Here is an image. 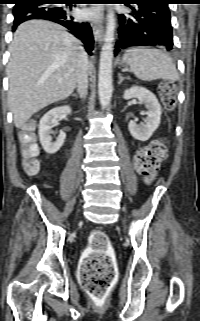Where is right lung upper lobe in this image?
Segmentation results:
<instances>
[{
    "label": "right lung upper lobe",
    "mask_w": 200,
    "mask_h": 321,
    "mask_svg": "<svg viewBox=\"0 0 200 321\" xmlns=\"http://www.w3.org/2000/svg\"><path fill=\"white\" fill-rule=\"evenodd\" d=\"M14 1H15V4H19V3L24 2L26 0H14Z\"/></svg>",
    "instance_id": "1"
}]
</instances>
